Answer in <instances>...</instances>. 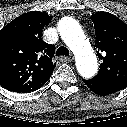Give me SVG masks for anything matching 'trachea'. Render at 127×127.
Returning <instances> with one entry per match:
<instances>
[{"label": "trachea", "instance_id": "obj_1", "mask_svg": "<svg viewBox=\"0 0 127 127\" xmlns=\"http://www.w3.org/2000/svg\"><path fill=\"white\" fill-rule=\"evenodd\" d=\"M56 55L57 56H68L69 55V50L64 46H61L57 49Z\"/></svg>", "mask_w": 127, "mask_h": 127}]
</instances>
